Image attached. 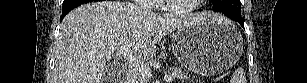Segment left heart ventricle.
Here are the masks:
<instances>
[{
    "mask_svg": "<svg viewBox=\"0 0 307 83\" xmlns=\"http://www.w3.org/2000/svg\"><path fill=\"white\" fill-rule=\"evenodd\" d=\"M170 4L173 6L190 5L195 2V0H169Z\"/></svg>",
    "mask_w": 307,
    "mask_h": 83,
    "instance_id": "b2bd125f",
    "label": "left heart ventricle"
}]
</instances>
